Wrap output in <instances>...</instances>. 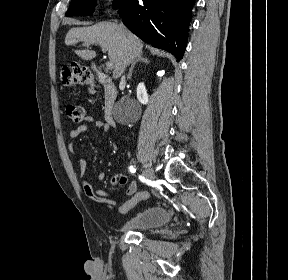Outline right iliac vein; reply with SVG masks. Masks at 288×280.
Here are the masks:
<instances>
[{"label": "right iliac vein", "mask_w": 288, "mask_h": 280, "mask_svg": "<svg viewBox=\"0 0 288 280\" xmlns=\"http://www.w3.org/2000/svg\"><path fill=\"white\" fill-rule=\"evenodd\" d=\"M143 175L149 180H154L155 178L154 172L147 168L143 170Z\"/></svg>", "instance_id": "1"}]
</instances>
